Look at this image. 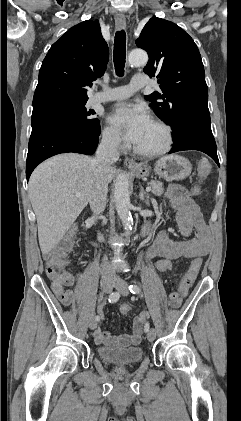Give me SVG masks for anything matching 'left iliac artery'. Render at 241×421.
I'll return each instance as SVG.
<instances>
[{"label":"left iliac artery","instance_id":"44dca946","mask_svg":"<svg viewBox=\"0 0 241 421\" xmlns=\"http://www.w3.org/2000/svg\"><path fill=\"white\" fill-rule=\"evenodd\" d=\"M129 290H130V292L131 293H133V294H138L139 292H140V288H139V286H137L136 284H131V285H129ZM149 323H146L145 324V327H144V331L145 332H148L149 331Z\"/></svg>","mask_w":241,"mask_h":421}]
</instances>
